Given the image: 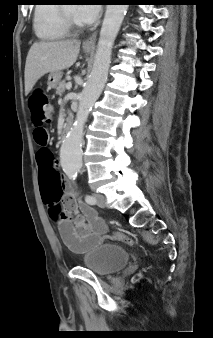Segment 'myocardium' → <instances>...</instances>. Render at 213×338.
I'll return each instance as SVG.
<instances>
[{
    "label": "myocardium",
    "instance_id": "f54148a6",
    "mask_svg": "<svg viewBox=\"0 0 213 338\" xmlns=\"http://www.w3.org/2000/svg\"><path fill=\"white\" fill-rule=\"evenodd\" d=\"M60 6L61 25L67 33H74L82 30L84 26L74 19L66 10L67 5Z\"/></svg>",
    "mask_w": 213,
    "mask_h": 338
}]
</instances>
